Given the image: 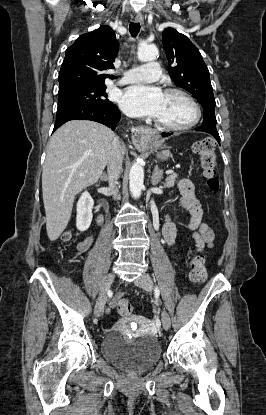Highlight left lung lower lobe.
<instances>
[{
  "label": "left lung lower lobe",
  "instance_id": "obj_1",
  "mask_svg": "<svg viewBox=\"0 0 266 415\" xmlns=\"http://www.w3.org/2000/svg\"><path fill=\"white\" fill-rule=\"evenodd\" d=\"M172 133H163L162 135L164 136V137H167V136H169V135H171ZM219 143H220V137H217V138H215Z\"/></svg>",
  "mask_w": 266,
  "mask_h": 415
}]
</instances>
